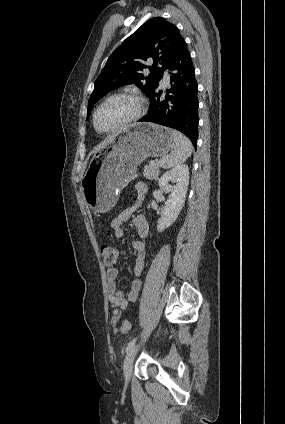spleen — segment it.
Returning <instances> with one entry per match:
<instances>
[{"label": "spleen", "mask_w": 285, "mask_h": 424, "mask_svg": "<svg viewBox=\"0 0 285 424\" xmlns=\"http://www.w3.org/2000/svg\"><path fill=\"white\" fill-rule=\"evenodd\" d=\"M174 147L170 155L160 159L159 165L163 168L176 167L184 163L192 154L190 140L178 131H173Z\"/></svg>", "instance_id": "1"}]
</instances>
